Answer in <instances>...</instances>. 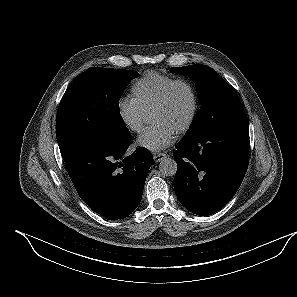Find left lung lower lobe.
<instances>
[{
    "label": "left lung lower lobe",
    "instance_id": "left-lung-lower-lobe-1",
    "mask_svg": "<svg viewBox=\"0 0 297 297\" xmlns=\"http://www.w3.org/2000/svg\"><path fill=\"white\" fill-rule=\"evenodd\" d=\"M174 189L180 203L197 215L223 208L237 192L249 163V120L245 114L176 145Z\"/></svg>",
    "mask_w": 297,
    "mask_h": 297
}]
</instances>
